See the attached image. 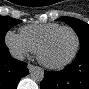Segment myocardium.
I'll list each match as a JSON object with an SVG mask.
<instances>
[{
  "mask_svg": "<svg viewBox=\"0 0 89 89\" xmlns=\"http://www.w3.org/2000/svg\"><path fill=\"white\" fill-rule=\"evenodd\" d=\"M62 30H69L74 34L75 40H76L74 50H73L72 54L66 60L59 62V63H49V62L45 61L44 58L42 57V51H43L44 47L52 39V37ZM79 47H80V37H79L77 31L70 26H61V27L55 29L54 31L48 33L43 38V40L39 43V45L37 47L36 56H37L38 61L43 66L50 68V69H60V68H63L65 66L69 65L75 59V57L78 53Z\"/></svg>",
  "mask_w": 89,
  "mask_h": 89,
  "instance_id": "obj_1",
  "label": "myocardium"
}]
</instances>
